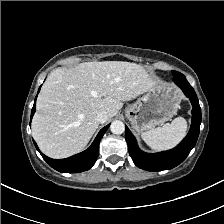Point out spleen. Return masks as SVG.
Masks as SVG:
<instances>
[{
    "label": "spleen",
    "mask_w": 224,
    "mask_h": 224,
    "mask_svg": "<svg viewBox=\"0 0 224 224\" xmlns=\"http://www.w3.org/2000/svg\"><path fill=\"white\" fill-rule=\"evenodd\" d=\"M187 133V122L183 117L171 123L143 132L141 138L153 150L161 151L175 147Z\"/></svg>",
    "instance_id": "obj_1"
}]
</instances>
